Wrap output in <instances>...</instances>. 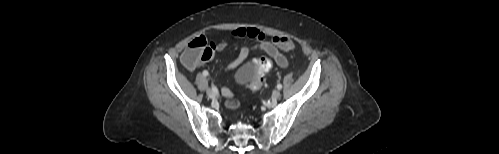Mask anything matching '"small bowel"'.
<instances>
[{
	"instance_id": "1",
	"label": "small bowel",
	"mask_w": 499,
	"mask_h": 154,
	"mask_svg": "<svg viewBox=\"0 0 499 154\" xmlns=\"http://www.w3.org/2000/svg\"><path fill=\"white\" fill-rule=\"evenodd\" d=\"M231 35L236 38H243V37H249L257 41L254 49L262 51L272 57L274 61L277 63L282 68H286L288 66V61L286 57L279 51L277 46L273 42H269L265 40L264 34L257 28H245V27H240L231 32ZM213 50L217 51H222L228 47V43L226 42H218L210 43ZM249 54V49L247 47H241L239 50V54L237 58L230 63L227 64L226 69L227 70H232L235 69L237 66H239L245 59L247 58ZM223 94L226 97H233L232 92L227 89L223 88L222 90Z\"/></svg>"
}]
</instances>
